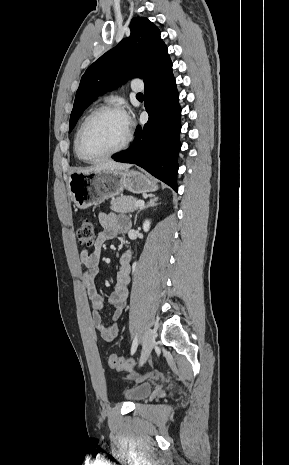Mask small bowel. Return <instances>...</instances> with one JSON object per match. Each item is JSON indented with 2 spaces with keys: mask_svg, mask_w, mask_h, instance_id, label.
<instances>
[{
  "mask_svg": "<svg viewBox=\"0 0 289 465\" xmlns=\"http://www.w3.org/2000/svg\"><path fill=\"white\" fill-rule=\"evenodd\" d=\"M98 220L102 228L97 234L93 252L84 249L80 253V260L84 266L81 279L87 295L92 302L93 324L103 340L110 343L119 333L117 320L122 314L128 298L131 253L129 251L123 253L119 260L114 291L108 298V303L113 309L110 322H105L103 319L102 313L105 309L104 299L97 290L95 280L99 273L101 251L104 244L115 238L119 233L127 232L130 228V222L124 216L105 212L99 213Z\"/></svg>",
  "mask_w": 289,
  "mask_h": 465,
  "instance_id": "obj_1",
  "label": "small bowel"
}]
</instances>
